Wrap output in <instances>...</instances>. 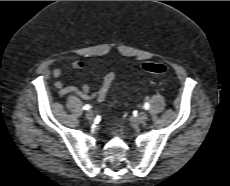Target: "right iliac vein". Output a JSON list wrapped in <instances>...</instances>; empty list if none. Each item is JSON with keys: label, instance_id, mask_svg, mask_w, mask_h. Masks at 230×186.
Returning <instances> with one entry per match:
<instances>
[{"label": "right iliac vein", "instance_id": "63e3f726", "mask_svg": "<svg viewBox=\"0 0 230 186\" xmlns=\"http://www.w3.org/2000/svg\"><path fill=\"white\" fill-rule=\"evenodd\" d=\"M85 116L90 121L94 119V113L92 111H88Z\"/></svg>", "mask_w": 230, "mask_h": 186}]
</instances>
